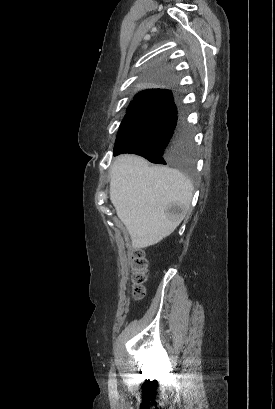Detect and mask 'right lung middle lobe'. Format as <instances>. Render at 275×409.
Wrapping results in <instances>:
<instances>
[{
    "label": "right lung middle lobe",
    "mask_w": 275,
    "mask_h": 409,
    "mask_svg": "<svg viewBox=\"0 0 275 409\" xmlns=\"http://www.w3.org/2000/svg\"><path fill=\"white\" fill-rule=\"evenodd\" d=\"M140 87L153 89L149 79L170 84L181 79V70H150L144 73ZM132 153L156 164L176 167L182 178L198 182L195 177L197 150L192 133L185 123L184 111L178 109L168 90L141 92L134 97L120 125L114 155Z\"/></svg>",
    "instance_id": "dd1d6c3e"
}]
</instances>
